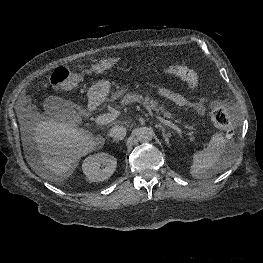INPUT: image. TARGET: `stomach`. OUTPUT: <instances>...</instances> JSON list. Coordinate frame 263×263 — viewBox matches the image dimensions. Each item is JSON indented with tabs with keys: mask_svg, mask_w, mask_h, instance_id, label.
Listing matches in <instances>:
<instances>
[{
	"mask_svg": "<svg viewBox=\"0 0 263 263\" xmlns=\"http://www.w3.org/2000/svg\"><path fill=\"white\" fill-rule=\"evenodd\" d=\"M110 89L111 83L108 80H100L90 87L88 98L90 101H102L108 95Z\"/></svg>",
	"mask_w": 263,
	"mask_h": 263,
	"instance_id": "stomach-1",
	"label": "stomach"
}]
</instances>
